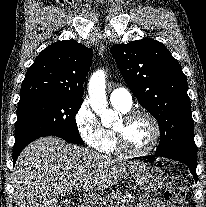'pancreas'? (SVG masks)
Masks as SVG:
<instances>
[{"label":"pancreas","instance_id":"pancreas-1","mask_svg":"<svg viewBox=\"0 0 206 207\" xmlns=\"http://www.w3.org/2000/svg\"><path fill=\"white\" fill-rule=\"evenodd\" d=\"M96 207H134L121 192H112L104 196Z\"/></svg>","mask_w":206,"mask_h":207}]
</instances>
